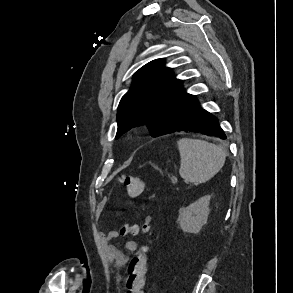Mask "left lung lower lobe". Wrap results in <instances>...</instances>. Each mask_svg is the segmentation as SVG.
Here are the masks:
<instances>
[{
  "instance_id": "1",
  "label": "left lung lower lobe",
  "mask_w": 293,
  "mask_h": 293,
  "mask_svg": "<svg viewBox=\"0 0 293 293\" xmlns=\"http://www.w3.org/2000/svg\"><path fill=\"white\" fill-rule=\"evenodd\" d=\"M200 132L221 139H226V135L219 126L218 120L211 113L204 110L198 101L192 102L181 116L172 132ZM171 132V133H172Z\"/></svg>"
}]
</instances>
